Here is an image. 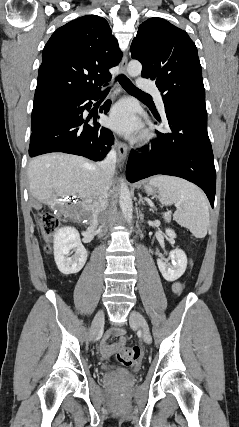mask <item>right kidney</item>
I'll return each mask as SVG.
<instances>
[{"label": "right kidney", "mask_w": 239, "mask_h": 427, "mask_svg": "<svg viewBox=\"0 0 239 427\" xmlns=\"http://www.w3.org/2000/svg\"><path fill=\"white\" fill-rule=\"evenodd\" d=\"M75 254L69 257L70 251ZM54 258L59 271L65 275L78 273L86 263L87 251L76 228L64 227L54 235Z\"/></svg>", "instance_id": "obj_1"}]
</instances>
